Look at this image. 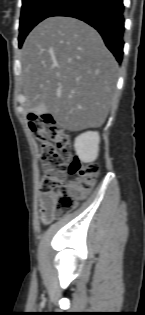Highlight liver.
I'll list each match as a JSON object with an SVG mask.
<instances>
[{"label": "liver", "instance_id": "6515ba94", "mask_svg": "<svg viewBox=\"0 0 145 315\" xmlns=\"http://www.w3.org/2000/svg\"><path fill=\"white\" fill-rule=\"evenodd\" d=\"M25 106L69 131L102 126L115 96L118 64L99 33L75 18L50 17L23 45Z\"/></svg>", "mask_w": 145, "mask_h": 315}]
</instances>
